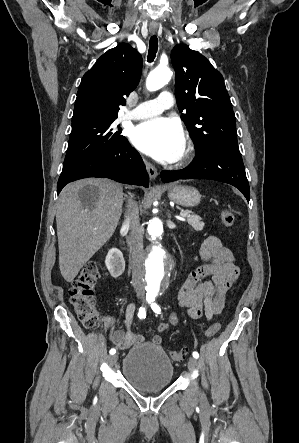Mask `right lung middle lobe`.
<instances>
[{
	"mask_svg": "<svg viewBox=\"0 0 299 443\" xmlns=\"http://www.w3.org/2000/svg\"><path fill=\"white\" fill-rule=\"evenodd\" d=\"M116 118H87L72 123L62 171L92 155L124 144L127 139L120 135L122 129L113 124Z\"/></svg>",
	"mask_w": 299,
	"mask_h": 443,
	"instance_id": "obj_1",
	"label": "right lung middle lobe"
}]
</instances>
